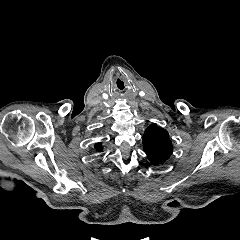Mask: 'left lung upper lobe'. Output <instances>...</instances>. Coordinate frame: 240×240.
<instances>
[{
  "instance_id": "obj_1",
  "label": "left lung upper lobe",
  "mask_w": 240,
  "mask_h": 240,
  "mask_svg": "<svg viewBox=\"0 0 240 240\" xmlns=\"http://www.w3.org/2000/svg\"><path fill=\"white\" fill-rule=\"evenodd\" d=\"M143 147L151 164L160 165L166 162L173 152L168 132L152 124L144 132Z\"/></svg>"
}]
</instances>
